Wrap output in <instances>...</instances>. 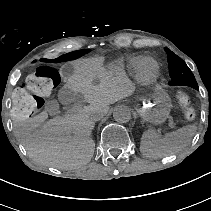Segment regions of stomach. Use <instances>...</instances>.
Wrapping results in <instances>:
<instances>
[{"instance_id":"obj_1","label":"stomach","mask_w":211,"mask_h":211,"mask_svg":"<svg viewBox=\"0 0 211 211\" xmlns=\"http://www.w3.org/2000/svg\"><path fill=\"white\" fill-rule=\"evenodd\" d=\"M171 108L169 95L162 88L156 87L152 97L137 108V112L145 122L158 125L166 121Z\"/></svg>"}]
</instances>
